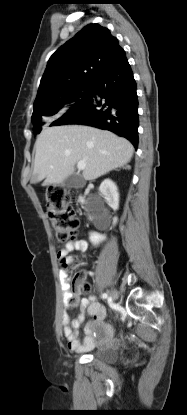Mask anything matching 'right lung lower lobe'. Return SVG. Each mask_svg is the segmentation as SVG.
<instances>
[{
	"label": "right lung lower lobe",
	"instance_id": "obj_1",
	"mask_svg": "<svg viewBox=\"0 0 187 415\" xmlns=\"http://www.w3.org/2000/svg\"><path fill=\"white\" fill-rule=\"evenodd\" d=\"M92 91L51 125L82 124L106 129L138 146V99L123 51L92 81Z\"/></svg>",
	"mask_w": 187,
	"mask_h": 415
}]
</instances>
